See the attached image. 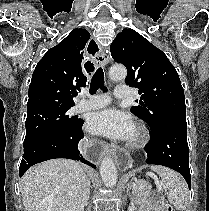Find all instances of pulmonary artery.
<instances>
[{"label":"pulmonary artery","instance_id":"e3ab8cb5","mask_svg":"<svg viewBox=\"0 0 209 211\" xmlns=\"http://www.w3.org/2000/svg\"><path fill=\"white\" fill-rule=\"evenodd\" d=\"M131 94L130 88L126 85H118L114 89V97L117 99H127ZM111 98L107 94L86 95L75 106L76 112L100 109L107 106Z\"/></svg>","mask_w":209,"mask_h":211}]
</instances>
